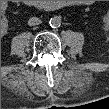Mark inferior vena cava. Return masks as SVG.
Here are the masks:
<instances>
[{
  "mask_svg": "<svg viewBox=\"0 0 109 109\" xmlns=\"http://www.w3.org/2000/svg\"><path fill=\"white\" fill-rule=\"evenodd\" d=\"M41 24V20L37 17H31L29 20H28V25L29 26H36V25H39Z\"/></svg>",
  "mask_w": 109,
  "mask_h": 109,
  "instance_id": "1",
  "label": "inferior vena cava"
}]
</instances>
